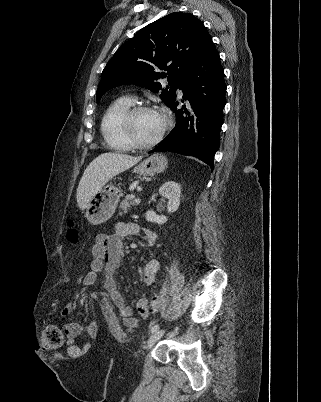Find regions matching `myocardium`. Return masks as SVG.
<instances>
[{"label": "myocardium", "instance_id": "obj_1", "mask_svg": "<svg viewBox=\"0 0 321 402\" xmlns=\"http://www.w3.org/2000/svg\"><path fill=\"white\" fill-rule=\"evenodd\" d=\"M145 111H155V112L160 113L164 119V125L161 128L158 135L154 139H152L149 142L143 143V142L138 141V139L134 135L133 120L137 114H139L141 112H145ZM120 125H121V131H122V134H123L125 140L132 148L146 150V149H150V148L154 147L163 139V137L165 136V134L167 133V131L170 129V127L172 125V120H171L170 115L165 111H162L160 109L154 108L149 105H135V106L130 107L124 113V115L121 118Z\"/></svg>", "mask_w": 321, "mask_h": 402}]
</instances>
